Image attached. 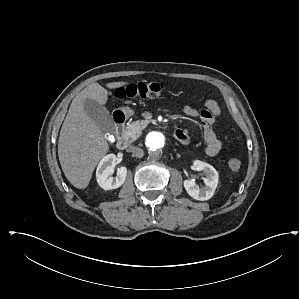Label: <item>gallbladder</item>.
<instances>
[{
	"mask_svg": "<svg viewBox=\"0 0 299 299\" xmlns=\"http://www.w3.org/2000/svg\"><path fill=\"white\" fill-rule=\"evenodd\" d=\"M84 109L89 117L99 126L104 132L114 131V122L109 114V111L98 102L87 99L84 102Z\"/></svg>",
	"mask_w": 299,
	"mask_h": 299,
	"instance_id": "1",
	"label": "gallbladder"
}]
</instances>
